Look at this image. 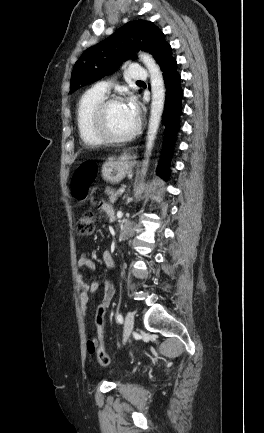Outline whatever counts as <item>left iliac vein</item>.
Wrapping results in <instances>:
<instances>
[{
	"label": "left iliac vein",
	"instance_id": "left-iliac-vein-1",
	"mask_svg": "<svg viewBox=\"0 0 264 433\" xmlns=\"http://www.w3.org/2000/svg\"><path fill=\"white\" fill-rule=\"evenodd\" d=\"M134 327V316L132 312H128L125 318L124 342L129 338Z\"/></svg>",
	"mask_w": 264,
	"mask_h": 433
}]
</instances>
